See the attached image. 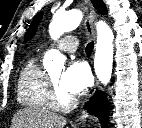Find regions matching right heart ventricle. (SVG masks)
I'll return each instance as SVG.
<instances>
[{
	"instance_id": "right-heart-ventricle-1",
	"label": "right heart ventricle",
	"mask_w": 142,
	"mask_h": 128,
	"mask_svg": "<svg viewBox=\"0 0 142 128\" xmlns=\"http://www.w3.org/2000/svg\"><path fill=\"white\" fill-rule=\"evenodd\" d=\"M18 101L30 108H50L49 80L35 60L21 70L17 84Z\"/></svg>"
}]
</instances>
